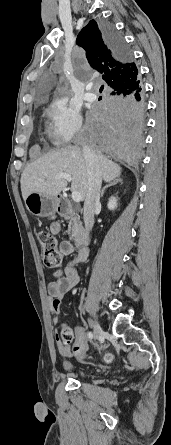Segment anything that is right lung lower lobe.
<instances>
[{"label": "right lung lower lobe", "instance_id": "obj_1", "mask_svg": "<svg viewBox=\"0 0 171 445\" xmlns=\"http://www.w3.org/2000/svg\"><path fill=\"white\" fill-rule=\"evenodd\" d=\"M110 49L123 62L131 54L123 38L108 23L99 24ZM145 100L140 79L111 90L87 116L85 135L99 153L129 165L141 158Z\"/></svg>", "mask_w": 171, "mask_h": 445}]
</instances>
